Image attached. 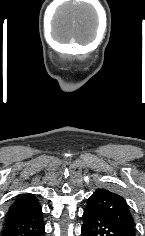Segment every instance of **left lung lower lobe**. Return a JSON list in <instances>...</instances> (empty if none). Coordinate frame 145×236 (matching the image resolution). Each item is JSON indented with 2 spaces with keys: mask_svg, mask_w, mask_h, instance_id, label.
<instances>
[{
  "mask_svg": "<svg viewBox=\"0 0 145 236\" xmlns=\"http://www.w3.org/2000/svg\"><path fill=\"white\" fill-rule=\"evenodd\" d=\"M82 236H130L124 229L103 216L85 209Z\"/></svg>",
  "mask_w": 145,
  "mask_h": 236,
  "instance_id": "1",
  "label": "left lung lower lobe"
}]
</instances>
